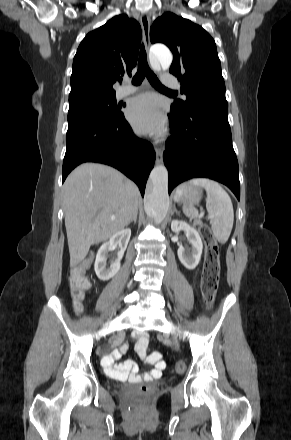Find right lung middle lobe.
I'll return each mask as SVG.
<instances>
[{
  "instance_id": "dd1d6c3e",
  "label": "right lung middle lobe",
  "mask_w": 291,
  "mask_h": 440,
  "mask_svg": "<svg viewBox=\"0 0 291 440\" xmlns=\"http://www.w3.org/2000/svg\"><path fill=\"white\" fill-rule=\"evenodd\" d=\"M121 108L122 104L116 103L115 95L86 96L69 101L68 114L77 111H88L108 117H115L121 114Z\"/></svg>"
}]
</instances>
